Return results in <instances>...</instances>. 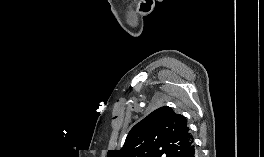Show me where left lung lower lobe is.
Returning a JSON list of instances; mask_svg holds the SVG:
<instances>
[{
  "label": "left lung lower lobe",
  "mask_w": 264,
  "mask_h": 157,
  "mask_svg": "<svg viewBox=\"0 0 264 157\" xmlns=\"http://www.w3.org/2000/svg\"><path fill=\"white\" fill-rule=\"evenodd\" d=\"M187 157H197V152L194 144L190 147Z\"/></svg>",
  "instance_id": "0a47b994"
}]
</instances>
